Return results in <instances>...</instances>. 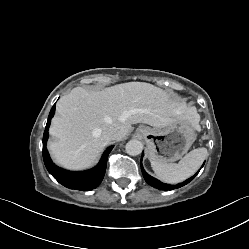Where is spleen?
<instances>
[{
	"instance_id": "obj_1",
	"label": "spleen",
	"mask_w": 249,
	"mask_h": 249,
	"mask_svg": "<svg viewBox=\"0 0 249 249\" xmlns=\"http://www.w3.org/2000/svg\"><path fill=\"white\" fill-rule=\"evenodd\" d=\"M208 155L206 148H197L186 154L178 163L151 161L156 176L167 183H178L192 176Z\"/></svg>"
}]
</instances>
